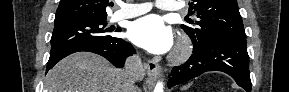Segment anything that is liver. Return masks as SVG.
I'll return each mask as SVG.
<instances>
[{
  "label": "liver",
  "instance_id": "6515ba94",
  "mask_svg": "<svg viewBox=\"0 0 289 92\" xmlns=\"http://www.w3.org/2000/svg\"><path fill=\"white\" fill-rule=\"evenodd\" d=\"M44 92H129L124 70L113 67L105 58L89 53H73L51 69L45 78ZM132 92H140L136 87Z\"/></svg>",
  "mask_w": 289,
  "mask_h": 92
}]
</instances>
